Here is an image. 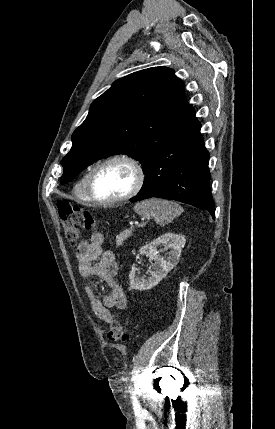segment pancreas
Wrapping results in <instances>:
<instances>
[{
    "instance_id": "obj_1",
    "label": "pancreas",
    "mask_w": 275,
    "mask_h": 429,
    "mask_svg": "<svg viewBox=\"0 0 275 429\" xmlns=\"http://www.w3.org/2000/svg\"><path fill=\"white\" fill-rule=\"evenodd\" d=\"M133 229H129V230H124L123 232H121L117 237H116V245L117 246H122L123 242L125 240H127V238H129L132 234Z\"/></svg>"
}]
</instances>
